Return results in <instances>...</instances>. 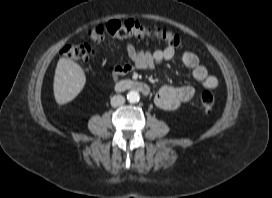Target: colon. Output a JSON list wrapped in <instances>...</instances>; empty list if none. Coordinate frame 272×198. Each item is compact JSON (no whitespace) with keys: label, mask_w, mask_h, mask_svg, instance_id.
I'll use <instances>...</instances> for the list:
<instances>
[{"label":"colon","mask_w":272,"mask_h":198,"mask_svg":"<svg viewBox=\"0 0 272 198\" xmlns=\"http://www.w3.org/2000/svg\"><path fill=\"white\" fill-rule=\"evenodd\" d=\"M91 41L99 43L105 38H128L139 39L158 38L166 41L171 47H181L180 37L164 28H150L144 26L137 20H110L105 24L94 27L88 32ZM94 49L88 43L69 44L63 47L61 54L69 59L88 61L94 56ZM215 104V96L212 92L206 91L201 96V108L210 111Z\"/></svg>","instance_id":"1"}]
</instances>
